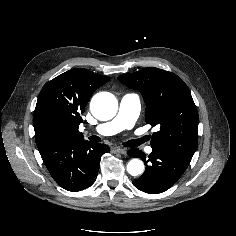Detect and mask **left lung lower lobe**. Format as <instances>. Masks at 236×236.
I'll return each mask as SVG.
<instances>
[{"instance_id":"1","label":"left lung lower lobe","mask_w":236,"mask_h":236,"mask_svg":"<svg viewBox=\"0 0 236 236\" xmlns=\"http://www.w3.org/2000/svg\"><path fill=\"white\" fill-rule=\"evenodd\" d=\"M128 155L141 158L146 164L145 172L133 181V185L150 194L162 193L173 186L192 159L157 146H152L148 159L137 148L130 149Z\"/></svg>"}]
</instances>
